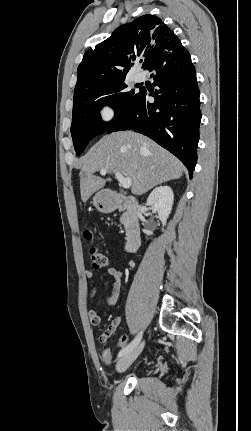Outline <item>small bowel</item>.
<instances>
[{"label":"small bowel","mask_w":251,"mask_h":431,"mask_svg":"<svg viewBox=\"0 0 251 431\" xmlns=\"http://www.w3.org/2000/svg\"><path fill=\"white\" fill-rule=\"evenodd\" d=\"M107 274L109 276H111L113 278V284L112 287L109 291L108 297H107V304L108 305H115L118 301L119 295H120V289H121V281L123 278V272L115 267H108L106 270ZM85 276L86 278L90 279V280H94L95 279V275L94 272L92 270H86L85 271ZM98 285H95L90 293V296L92 299H96L97 298V293H98ZM88 317H89V321L91 323L92 326H100L102 323V318L99 314V312L97 310H89L88 311ZM122 317L116 316L114 317L111 322L108 324V326L106 327V329L103 331V333L99 336V341L101 343H106L108 342V340L111 338V336L115 333V331L117 330V328L119 327L120 323H121ZM105 350H109L112 351L111 348H107ZM113 352V351H112Z\"/></svg>","instance_id":"obj_1"}]
</instances>
